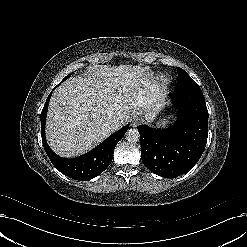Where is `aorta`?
<instances>
[{
    "mask_svg": "<svg viewBox=\"0 0 247 247\" xmlns=\"http://www.w3.org/2000/svg\"><path fill=\"white\" fill-rule=\"evenodd\" d=\"M139 137L140 135L137 129H129L125 134L126 140L130 143H136Z\"/></svg>",
    "mask_w": 247,
    "mask_h": 247,
    "instance_id": "obj_1",
    "label": "aorta"
}]
</instances>
